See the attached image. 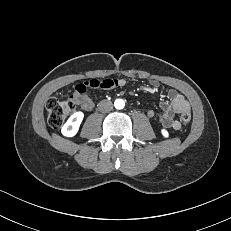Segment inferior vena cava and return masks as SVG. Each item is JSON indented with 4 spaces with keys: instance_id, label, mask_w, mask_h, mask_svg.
<instances>
[{
    "instance_id": "602c4592",
    "label": "inferior vena cava",
    "mask_w": 231,
    "mask_h": 231,
    "mask_svg": "<svg viewBox=\"0 0 231 231\" xmlns=\"http://www.w3.org/2000/svg\"><path fill=\"white\" fill-rule=\"evenodd\" d=\"M98 108L101 112L107 113L110 112L113 109V104L111 101L108 100H102L98 104Z\"/></svg>"
}]
</instances>
